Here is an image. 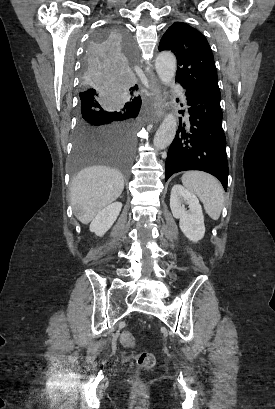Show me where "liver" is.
<instances>
[{
	"mask_svg": "<svg viewBox=\"0 0 275 409\" xmlns=\"http://www.w3.org/2000/svg\"><path fill=\"white\" fill-rule=\"evenodd\" d=\"M124 188L122 172L111 166H87L74 176L70 188L71 205L83 209L79 221L88 225L104 207L120 196Z\"/></svg>",
	"mask_w": 275,
	"mask_h": 409,
	"instance_id": "liver-1",
	"label": "liver"
}]
</instances>
